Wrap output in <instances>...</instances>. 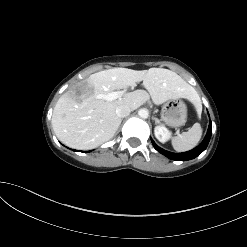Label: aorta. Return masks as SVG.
<instances>
[{
    "mask_svg": "<svg viewBox=\"0 0 247 247\" xmlns=\"http://www.w3.org/2000/svg\"><path fill=\"white\" fill-rule=\"evenodd\" d=\"M148 114H149V112H148V110L147 109H140L139 111H138V115H139V117H141V118H143V119H146V118H148Z\"/></svg>",
    "mask_w": 247,
    "mask_h": 247,
    "instance_id": "obj_1",
    "label": "aorta"
}]
</instances>
